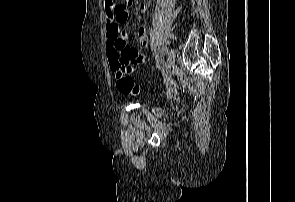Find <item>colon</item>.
Masks as SVG:
<instances>
[{
  "instance_id": "1",
  "label": "colon",
  "mask_w": 295,
  "mask_h": 202,
  "mask_svg": "<svg viewBox=\"0 0 295 202\" xmlns=\"http://www.w3.org/2000/svg\"><path fill=\"white\" fill-rule=\"evenodd\" d=\"M112 70L115 74L116 86L119 92L126 95L138 93L139 87L131 76V68L128 63H115Z\"/></svg>"
}]
</instances>
